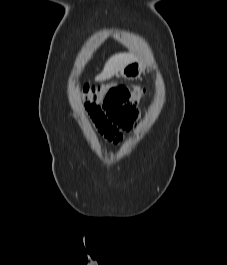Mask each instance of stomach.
<instances>
[{
	"instance_id": "0dacf381",
	"label": "stomach",
	"mask_w": 227,
	"mask_h": 265,
	"mask_svg": "<svg viewBox=\"0 0 227 265\" xmlns=\"http://www.w3.org/2000/svg\"><path fill=\"white\" fill-rule=\"evenodd\" d=\"M144 70L145 64L140 60H134L120 70L119 76L124 79H135L140 77Z\"/></svg>"
}]
</instances>
